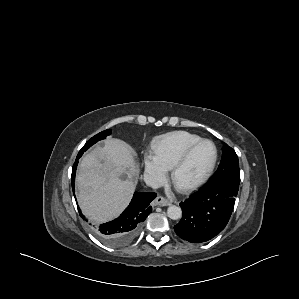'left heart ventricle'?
I'll use <instances>...</instances> for the list:
<instances>
[{"mask_svg": "<svg viewBox=\"0 0 299 299\" xmlns=\"http://www.w3.org/2000/svg\"><path fill=\"white\" fill-rule=\"evenodd\" d=\"M214 158V148L211 144H202L192 154L186 166L180 171L178 181L188 184L203 176L209 169Z\"/></svg>", "mask_w": 299, "mask_h": 299, "instance_id": "1", "label": "left heart ventricle"}]
</instances>
